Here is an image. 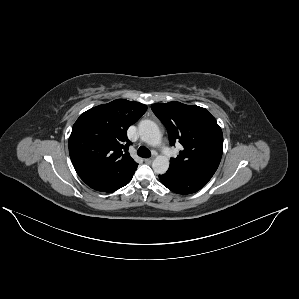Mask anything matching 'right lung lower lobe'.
I'll return each instance as SVG.
<instances>
[{
    "mask_svg": "<svg viewBox=\"0 0 299 299\" xmlns=\"http://www.w3.org/2000/svg\"><path fill=\"white\" fill-rule=\"evenodd\" d=\"M135 170L121 176H112L105 180L90 183L87 185L97 191L113 192L127 185L132 179Z\"/></svg>",
    "mask_w": 299,
    "mask_h": 299,
    "instance_id": "obj_1",
    "label": "right lung lower lobe"
}]
</instances>
